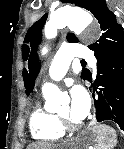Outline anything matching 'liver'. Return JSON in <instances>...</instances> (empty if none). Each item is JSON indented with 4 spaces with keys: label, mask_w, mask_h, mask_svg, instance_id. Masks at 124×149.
I'll list each match as a JSON object with an SVG mask.
<instances>
[{
    "label": "liver",
    "mask_w": 124,
    "mask_h": 149,
    "mask_svg": "<svg viewBox=\"0 0 124 149\" xmlns=\"http://www.w3.org/2000/svg\"><path fill=\"white\" fill-rule=\"evenodd\" d=\"M27 149H55V147L49 143L38 142L29 145Z\"/></svg>",
    "instance_id": "obj_1"
}]
</instances>
